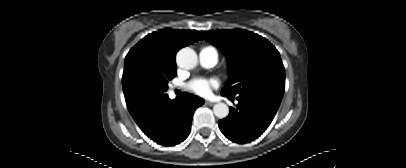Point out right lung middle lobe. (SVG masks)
Here are the masks:
<instances>
[{
    "instance_id": "right-lung-middle-lobe-1",
    "label": "right lung middle lobe",
    "mask_w": 406,
    "mask_h": 168,
    "mask_svg": "<svg viewBox=\"0 0 406 168\" xmlns=\"http://www.w3.org/2000/svg\"><path fill=\"white\" fill-rule=\"evenodd\" d=\"M176 71L161 73L151 69H137L128 81V101L134 110L156 104L168 97V82Z\"/></svg>"
}]
</instances>
